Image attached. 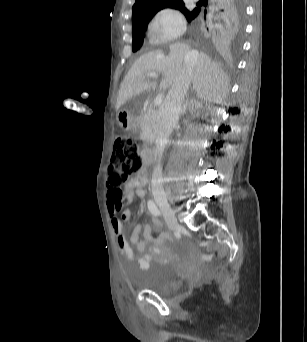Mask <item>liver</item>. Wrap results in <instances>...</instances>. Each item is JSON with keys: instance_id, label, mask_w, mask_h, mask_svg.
<instances>
[{"instance_id": "obj_1", "label": "liver", "mask_w": 307, "mask_h": 342, "mask_svg": "<svg viewBox=\"0 0 307 342\" xmlns=\"http://www.w3.org/2000/svg\"><path fill=\"white\" fill-rule=\"evenodd\" d=\"M190 50L188 44H161L160 50L148 52L140 56L132 64L127 72L116 102V110H119L127 100L133 96H139L142 92H148L151 88H156V82L145 80L147 74H163L164 78L159 88H170L175 84L178 76L183 72L185 56ZM192 88L198 98L204 100L206 104H222L229 92V78L219 68L218 64L212 62L209 56L203 52H197L193 58Z\"/></svg>"}]
</instances>
